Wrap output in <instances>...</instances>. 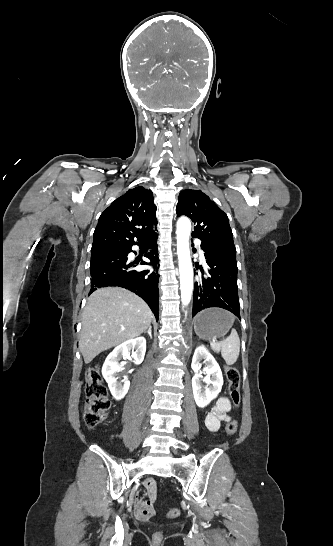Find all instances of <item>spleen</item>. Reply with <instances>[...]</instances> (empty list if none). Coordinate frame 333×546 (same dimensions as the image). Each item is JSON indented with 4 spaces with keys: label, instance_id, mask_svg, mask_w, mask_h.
I'll list each match as a JSON object with an SVG mask.
<instances>
[{
    "label": "spleen",
    "instance_id": "obj_1",
    "mask_svg": "<svg viewBox=\"0 0 333 546\" xmlns=\"http://www.w3.org/2000/svg\"><path fill=\"white\" fill-rule=\"evenodd\" d=\"M234 319V316L229 313ZM210 346L215 352H221L223 359L228 366L233 365L240 353V339L235 329H232L231 334L220 342L210 341Z\"/></svg>",
    "mask_w": 333,
    "mask_h": 546
}]
</instances>
